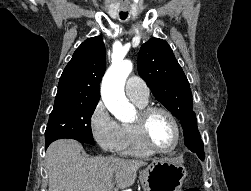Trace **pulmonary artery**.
Listing matches in <instances>:
<instances>
[{"label": "pulmonary artery", "instance_id": "pulmonary-artery-1", "mask_svg": "<svg viewBox=\"0 0 251 191\" xmlns=\"http://www.w3.org/2000/svg\"><path fill=\"white\" fill-rule=\"evenodd\" d=\"M126 95L133 101H146L149 91L146 83L138 77H130L125 82Z\"/></svg>", "mask_w": 251, "mask_h": 191}]
</instances>
